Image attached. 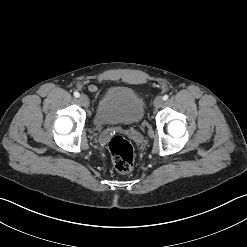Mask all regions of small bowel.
<instances>
[{
  "instance_id": "small-bowel-1",
  "label": "small bowel",
  "mask_w": 247,
  "mask_h": 247,
  "mask_svg": "<svg viewBox=\"0 0 247 247\" xmlns=\"http://www.w3.org/2000/svg\"><path fill=\"white\" fill-rule=\"evenodd\" d=\"M90 90H91L92 92H97V91H98L97 87L94 86V85L90 86Z\"/></svg>"
}]
</instances>
